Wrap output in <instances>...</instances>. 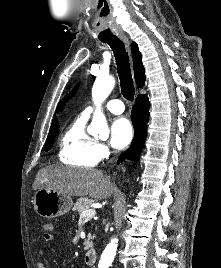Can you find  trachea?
Listing matches in <instances>:
<instances>
[{"instance_id": "obj_1", "label": "trachea", "mask_w": 221, "mask_h": 268, "mask_svg": "<svg viewBox=\"0 0 221 268\" xmlns=\"http://www.w3.org/2000/svg\"><path fill=\"white\" fill-rule=\"evenodd\" d=\"M102 42L107 43L114 53L122 95L126 100L133 101L135 88L133 85L129 56L125 45L118 37L102 40Z\"/></svg>"}]
</instances>
